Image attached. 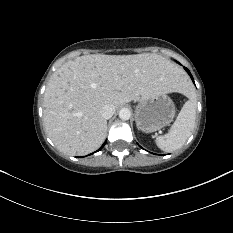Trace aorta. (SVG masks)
<instances>
[{
    "label": "aorta",
    "instance_id": "obj_1",
    "mask_svg": "<svg viewBox=\"0 0 233 233\" xmlns=\"http://www.w3.org/2000/svg\"><path fill=\"white\" fill-rule=\"evenodd\" d=\"M131 117V111L128 108H122L119 111V118L121 120H129Z\"/></svg>",
    "mask_w": 233,
    "mask_h": 233
}]
</instances>
